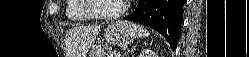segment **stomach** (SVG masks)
<instances>
[{
  "label": "stomach",
  "mask_w": 249,
  "mask_h": 57,
  "mask_svg": "<svg viewBox=\"0 0 249 57\" xmlns=\"http://www.w3.org/2000/svg\"><path fill=\"white\" fill-rule=\"evenodd\" d=\"M138 37V30L129 21H115L104 30V38L108 43L124 46ZM89 57H106L100 45H94Z\"/></svg>",
  "instance_id": "0dacf381"
}]
</instances>
